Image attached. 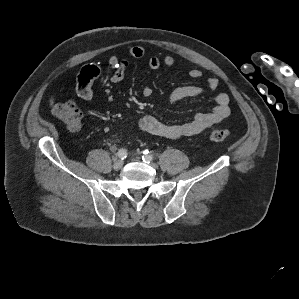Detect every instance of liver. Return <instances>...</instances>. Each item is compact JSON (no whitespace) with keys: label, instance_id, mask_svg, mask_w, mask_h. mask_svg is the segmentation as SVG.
I'll use <instances>...</instances> for the list:
<instances>
[{"label":"liver","instance_id":"liver-1","mask_svg":"<svg viewBox=\"0 0 299 299\" xmlns=\"http://www.w3.org/2000/svg\"><path fill=\"white\" fill-rule=\"evenodd\" d=\"M53 104H54V98L51 97V99H50V106H53Z\"/></svg>","mask_w":299,"mask_h":299}]
</instances>
